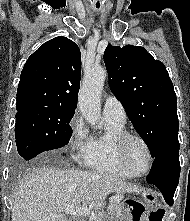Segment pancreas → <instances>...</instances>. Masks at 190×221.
Wrapping results in <instances>:
<instances>
[{"instance_id": "1", "label": "pancreas", "mask_w": 190, "mask_h": 221, "mask_svg": "<svg viewBox=\"0 0 190 221\" xmlns=\"http://www.w3.org/2000/svg\"><path fill=\"white\" fill-rule=\"evenodd\" d=\"M122 210V204L119 202H110L107 206L103 205L101 208H98L90 218L89 221H105L104 219L110 216H118Z\"/></svg>"}]
</instances>
